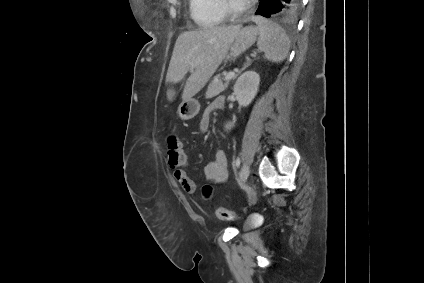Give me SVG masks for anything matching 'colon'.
Returning a JSON list of instances; mask_svg holds the SVG:
<instances>
[{
    "label": "colon",
    "mask_w": 424,
    "mask_h": 283,
    "mask_svg": "<svg viewBox=\"0 0 424 283\" xmlns=\"http://www.w3.org/2000/svg\"><path fill=\"white\" fill-rule=\"evenodd\" d=\"M181 146V142L179 141L178 137L174 134H170L167 137V154L170 155L171 157V165L172 166H176L180 163L183 162V159L180 155V153L178 152V150L180 149ZM167 155V156H168ZM211 186L209 185H205L203 187V193L205 195H209L211 193ZM215 214L217 216V218H219L220 220H233L234 219V214L233 212L223 208V207H218L215 210Z\"/></svg>",
    "instance_id": "colon-1"
}]
</instances>
